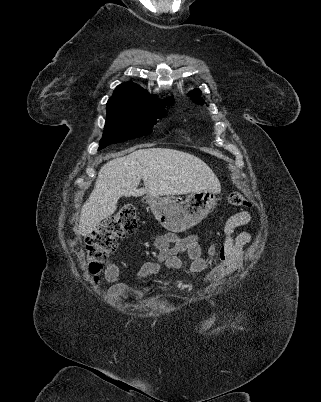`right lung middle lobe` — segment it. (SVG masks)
I'll use <instances>...</instances> for the list:
<instances>
[{
    "label": "right lung middle lobe",
    "instance_id": "right-lung-middle-lobe-1",
    "mask_svg": "<svg viewBox=\"0 0 321 402\" xmlns=\"http://www.w3.org/2000/svg\"><path fill=\"white\" fill-rule=\"evenodd\" d=\"M106 109V124L99 149L150 133L156 120L164 115L162 108L122 103L108 102Z\"/></svg>",
    "mask_w": 321,
    "mask_h": 402
}]
</instances>
